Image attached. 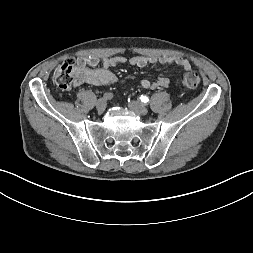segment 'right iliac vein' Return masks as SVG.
<instances>
[{"label": "right iliac vein", "instance_id": "right-iliac-vein-1", "mask_svg": "<svg viewBox=\"0 0 253 253\" xmlns=\"http://www.w3.org/2000/svg\"><path fill=\"white\" fill-rule=\"evenodd\" d=\"M106 100L101 98L96 102V108L98 110V112L102 113L104 112L105 108H106Z\"/></svg>", "mask_w": 253, "mask_h": 253}]
</instances>
